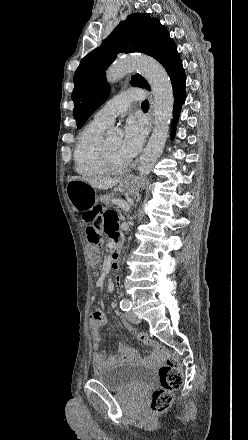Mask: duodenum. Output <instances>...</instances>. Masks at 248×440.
<instances>
[{
	"label": "duodenum",
	"instance_id": "1",
	"mask_svg": "<svg viewBox=\"0 0 248 440\" xmlns=\"http://www.w3.org/2000/svg\"><path fill=\"white\" fill-rule=\"evenodd\" d=\"M120 252H121V240L119 235H116L112 237V250L110 254L113 267H116L117 261L120 257Z\"/></svg>",
	"mask_w": 248,
	"mask_h": 440
}]
</instances>
